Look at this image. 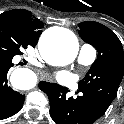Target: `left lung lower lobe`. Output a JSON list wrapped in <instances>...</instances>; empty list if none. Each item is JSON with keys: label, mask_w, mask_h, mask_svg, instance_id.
I'll list each match as a JSON object with an SVG mask.
<instances>
[{"label": "left lung lower lobe", "mask_w": 124, "mask_h": 124, "mask_svg": "<svg viewBox=\"0 0 124 124\" xmlns=\"http://www.w3.org/2000/svg\"><path fill=\"white\" fill-rule=\"evenodd\" d=\"M39 88L48 95L50 116L56 124H93L107 110L84 93L67 98L69 90L56 83L42 81Z\"/></svg>", "instance_id": "0a47b994"}]
</instances>
